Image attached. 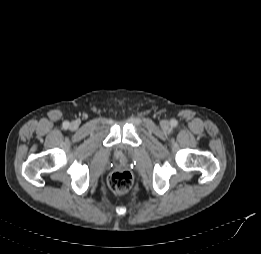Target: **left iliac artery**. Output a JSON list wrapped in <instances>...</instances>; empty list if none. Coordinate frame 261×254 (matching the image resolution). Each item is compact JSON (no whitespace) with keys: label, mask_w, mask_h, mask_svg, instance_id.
Segmentation results:
<instances>
[{"label":"left iliac artery","mask_w":261,"mask_h":254,"mask_svg":"<svg viewBox=\"0 0 261 254\" xmlns=\"http://www.w3.org/2000/svg\"><path fill=\"white\" fill-rule=\"evenodd\" d=\"M177 124H178V122L176 121V120H171V126L172 127H176L177 126Z\"/></svg>","instance_id":"1"}]
</instances>
